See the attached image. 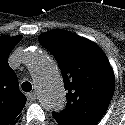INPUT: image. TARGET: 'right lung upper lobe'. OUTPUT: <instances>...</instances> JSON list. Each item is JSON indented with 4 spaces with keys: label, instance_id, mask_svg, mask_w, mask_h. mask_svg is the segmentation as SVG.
<instances>
[{
    "label": "right lung upper lobe",
    "instance_id": "right-lung-upper-lobe-1",
    "mask_svg": "<svg viewBox=\"0 0 125 125\" xmlns=\"http://www.w3.org/2000/svg\"><path fill=\"white\" fill-rule=\"evenodd\" d=\"M21 39L22 36L0 37V125H15L26 103L17 76L8 64L12 49Z\"/></svg>",
    "mask_w": 125,
    "mask_h": 125
}]
</instances>
